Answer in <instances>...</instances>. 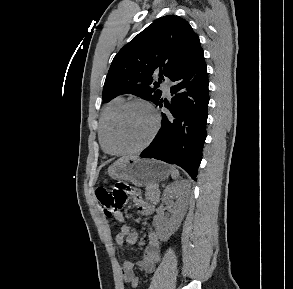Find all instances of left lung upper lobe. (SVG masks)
I'll return each mask as SVG.
<instances>
[{
    "label": "left lung upper lobe",
    "mask_w": 293,
    "mask_h": 289,
    "mask_svg": "<svg viewBox=\"0 0 293 289\" xmlns=\"http://www.w3.org/2000/svg\"><path fill=\"white\" fill-rule=\"evenodd\" d=\"M198 35L190 24L176 15L160 17L136 35L114 57L108 71L103 101L131 93L157 104L161 91L156 90L153 73L171 79L202 52ZM154 85V88L151 85Z\"/></svg>",
    "instance_id": "1"
}]
</instances>
